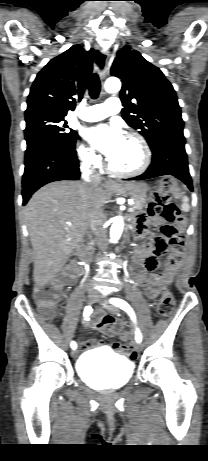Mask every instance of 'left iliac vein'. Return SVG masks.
<instances>
[{
	"mask_svg": "<svg viewBox=\"0 0 208 461\" xmlns=\"http://www.w3.org/2000/svg\"><path fill=\"white\" fill-rule=\"evenodd\" d=\"M96 301H97V302H104L103 299H102L100 296L97 297V300H96ZM105 307H106V309H107L110 313H112V314H117V313H118L117 307H115V306H113V305L105 304ZM135 347H136V350H137L138 352L142 351V349H143L142 343H137Z\"/></svg>",
	"mask_w": 208,
	"mask_h": 461,
	"instance_id": "1",
	"label": "left iliac vein"
}]
</instances>
